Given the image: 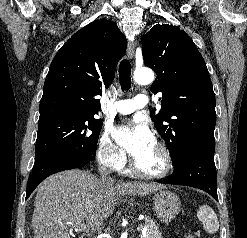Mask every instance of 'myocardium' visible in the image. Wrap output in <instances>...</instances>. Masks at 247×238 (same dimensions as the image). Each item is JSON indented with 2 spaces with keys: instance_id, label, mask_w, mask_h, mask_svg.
I'll return each mask as SVG.
<instances>
[{
  "instance_id": "myocardium-1",
  "label": "myocardium",
  "mask_w": 247,
  "mask_h": 238,
  "mask_svg": "<svg viewBox=\"0 0 247 238\" xmlns=\"http://www.w3.org/2000/svg\"><path fill=\"white\" fill-rule=\"evenodd\" d=\"M155 146L161 153L163 159V166L160 171L155 173L146 172L138 167L135 160L131 161V170L137 176L145 179H161L166 177L172 169V156L169 149L163 143L155 141Z\"/></svg>"
}]
</instances>
